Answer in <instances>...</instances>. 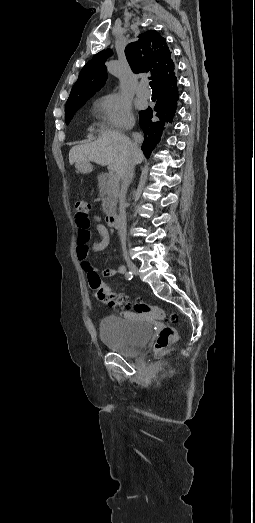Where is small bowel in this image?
<instances>
[{
	"label": "small bowel",
	"instance_id": "1",
	"mask_svg": "<svg viewBox=\"0 0 255 523\" xmlns=\"http://www.w3.org/2000/svg\"><path fill=\"white\" fill-rule=\"evenodd\" d=\"M95 229L100 236V241L94 242L89 245L91 239L90 232V223L87 226L81 227L78 226V237H77V258L80 260L82 268L88 272H96L90 262L88 261L89 251H102L109 244V232L107 228L101 224L100 217L95 216ZM125 272V267L123 265L114 266L103 271L105 276L111 277L117 274H123Z\"/></svg>",
	"mask_w": 255,
	"mask_h": 523
}]
</instances>
